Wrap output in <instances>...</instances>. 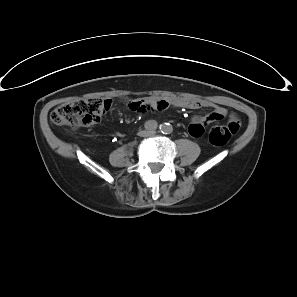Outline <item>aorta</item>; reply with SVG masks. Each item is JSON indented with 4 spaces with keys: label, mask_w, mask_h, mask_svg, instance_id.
<instances>
[{
    "label": "aorta",
    "mask_w": 297,
    "mask_h": 297,
    "mask_svg": "<svg viewBox=\"0 0 297 297\" xmlns=\"http://www.w3.org/2000/svg\"><path fill=\"white\" fill-rule=\"evenodd\" d=\"M162 133H171L172 132V126L169 123H165L163 125H161L160 128Z\"/></svg>",
    "instance_id": "aorta-1"
}]
</instances>
